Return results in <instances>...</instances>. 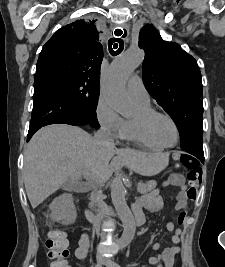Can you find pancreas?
<instances>
[{
	"label": "pancreas",
	"mask_w": 225,
	"mask_h": 267,
	"mask_svg": "<svg viewBox=\"0 0 225 267\" xmlns=\"http://www.w3.org/2000/svg\"><path fill=\"white\" fill-rule=\"evenodd\" d=\"M157 186L156 181L150 180L146 183H139L138 185V192L141 194H146L152 190H154Z\"/></svg>",
	"instance_id": "pancreas-1"
}]
</instances>
